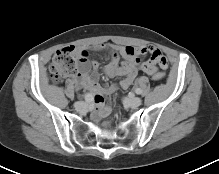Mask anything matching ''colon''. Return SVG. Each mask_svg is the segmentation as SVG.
Here are the masks:
<instances>
[{
	"mask_svg": "<svg viewBox=\"0 0 219 174\" xmlns=\"http://www.w3.org/2000/svg\"><path fill=\"white\" fill-rule=\"evenodd\" d=\"M78 57L74 53L72 47H65L58 50L52 59L50 65L51 78L54 81H59L61 78L72 75L77 71ZM165 78L163 72H158L153 75V80L156 82H162Z\"/></svg>",
	"mask_w": 219,
	"mask_h": 174,
	"instance_id": "colon-1",
	"label": "colon"
}]
</instances>
